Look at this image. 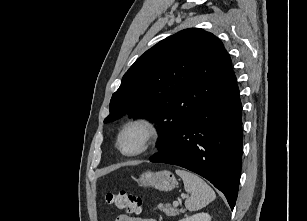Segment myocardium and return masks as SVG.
I'll use <instances>...</instances> for the list:
<instances>
[{
	"label": "myocardium",
	"mask_w": 307,
	"mask_h": 221,
	"mask_svg": "<svg viewBox=\"0 0 307 221\" xmlns=\"http://www.w3.org/2000/svg\"><path fill=\"white\" fill-rule=\"evenodd\" d=\"M139 127L144 132L143 143L140 148L132 152H126L121 148V140L125 132L132 128ZM160 130L158 124L151 118L141 116L127 121L119 131L116 139V147L118 151L126 157H134L146 152L158 139Z\"/></svg>",
	"instance_id": "f54148a6"
}]
</instances>
